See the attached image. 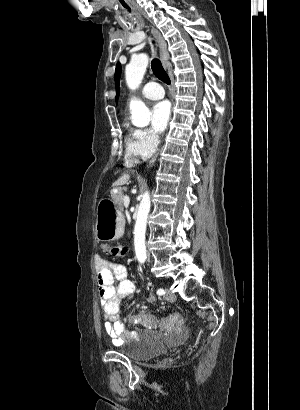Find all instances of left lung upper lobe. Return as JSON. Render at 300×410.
Masks as SVG:
<instances>
[{"label": "left lung upper lobe", "mask_w": 300, "mask_h": 410, "mask_svg": "<svg viewBox=\"0 0 300 410\" xmlns=\"http://www.w3.org/2000/svg\"><path fill=\"white\" fill-rule=\"evenodd\" d=\"M120 73H121V65L120 63L117 64L116 66V71H115V82H116V100L118 99L119 96V78H120Z\"/></svg>", "instance_id": "obj_1"}]
</instances>
